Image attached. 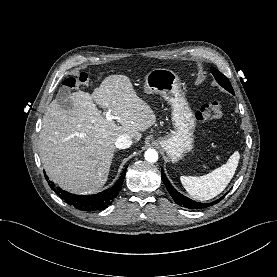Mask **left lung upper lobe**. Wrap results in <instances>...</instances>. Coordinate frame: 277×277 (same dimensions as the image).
<instances>
[{
	"mask_svg": "<svg viewBox=\"0 0 277 277\" xmlns=\"http://www.w3.org/2000/svg\"><path fill=\"white\" fill-rule=\"evenodd\" d=\"M211 72L214 75L215 79L217 80V82L223 87L225 88L227 91H229L230 93L234 94L233 88L229 82V80L227 79L226 76H224L219 70L215 69V68H211Z\"/></svg>",
	"mask_w": 277,
	"mask_h": 277,
	"instance_id": "1",
	"label": "left lung upper lobe"
}]
</instances>
